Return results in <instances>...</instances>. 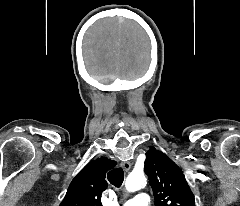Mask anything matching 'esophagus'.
Wrapping results in <instances>:
<instances>
[{
  "label": "esophagus",
  "mask_w": 240,
  "mask_h": 206,
  "mask_svg": "<svg viewBox=\"0 0 240 206\" xmlns=\"http://www.w3.org/2000/svg\"><path fill=\"white\" fill-rule=\"evenodd\" d=\"M121 165H122V167L125 171H129L130 168H131V163L130 162H122Z\"/></svg>",
  "instance_id": "esophagus-1"
}]
</instances>
